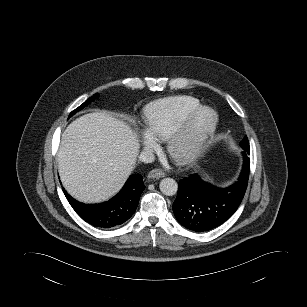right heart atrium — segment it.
<instances>
[{
  "label": "right heart atrium",
  "mask_w": 307,
  "mask_h": 307,
  "mask_svg": "<svg viewBox=\"0 0 307 307\" xmlns=\"http://www.w3.org/2000/svg\"><path fill=\"white\" fill-rule=\"evenodd\" d=\"M143 145L145 150L153 151L157 147V142L146 132L143 134Z\"/></svg>",
  "instance_id": "1"
}]
</instances>
